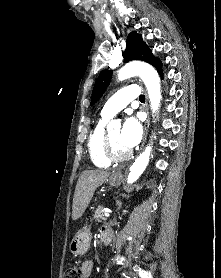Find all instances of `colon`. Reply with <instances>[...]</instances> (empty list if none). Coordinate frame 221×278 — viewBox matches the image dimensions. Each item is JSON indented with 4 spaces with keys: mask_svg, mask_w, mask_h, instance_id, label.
Returning a JSON list of instances; mask_svg holds the SVG:
<instances>
[{
    "mask_svg": "<svg viewBox=\"0 0 221 278\" xmlns=\"http://www.w3.org/2000/svg\"><path fill=\"white\" fill-rule=\"evenodd\" d=\"M65 278H84V275L79 267H69L65 272Z\"/></svg>",
    "mask_w": 221,
    "mask_h": 278,
    "instance_id": "colon-1",
    "label": "colon"
}]
</instances>
